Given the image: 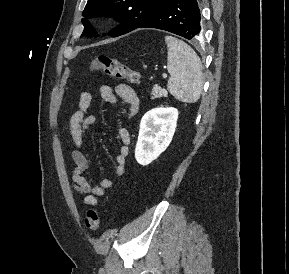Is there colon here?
<instances>
[{"mask_svg":"<svg viewBox=\"0 0 289 274\" xmlns=\"http://www.w3.org/2000/svg\"><path fill=\"white\" fill-rule=\"evenodd\" d=\"M89 70L100 71L109 76L124 79L132 84L141 83V75L138 71L132 69L122 61L109 57L107 55H99L95 57L89 65ZM84 225L89 231H95L100 225V214L96 209H89Z\"/></svg>","mask_w":289,"mask_h":274,"instance_id":"5ec220e1","label":"colon"}]
</instances>
